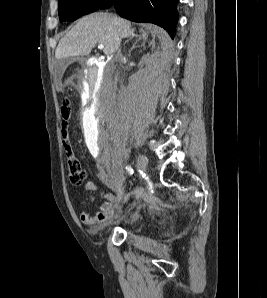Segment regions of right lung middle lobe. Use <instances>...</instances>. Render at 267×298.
Instances as JSON below:
<instances>
[{
  "label": "right lung middle lobe",
  "mask_w": 267,
  "mask_h": 298,
  "mask_svg": "<svg viewBox=\"0 0 267 298\" xmlns=\"http://www.w3.org/2000/svg\"><path fill=\"white\" fill-rule=\"evenodd\" d=\"M106 0H59L60 21H74L83 15L92 13Z\"/></svg>",
  "instance_id": "right-lung-middle-lobe-1"
}]
</instances>
